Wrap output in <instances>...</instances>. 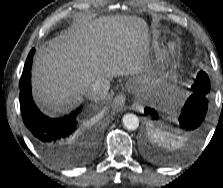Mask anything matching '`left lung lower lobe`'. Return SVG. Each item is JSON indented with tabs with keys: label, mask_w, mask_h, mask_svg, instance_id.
<instances>
[{
	"label": "left lung lower lobe",
	"mask_w": 223,
	"mask_h": 188,
	"mask_svg": "<svg viewBox=\"0 0 223 188\" xmlns=\"http://www.w3.org/2000/svg\"><path fill=\"white\" fill-rule=\"evenodd\" d=\"M208 108L207 96L199 93H192L187 99L181 114L179 116V126L175 131V135L179 137H187L192 140L197 137L201 131ZM145 116L150 126L156 125L158 113L154 108L146 107Z\"/></svg>",
	"instance_id": "left-lung-lower-lobe-1"
}]
</instances>
